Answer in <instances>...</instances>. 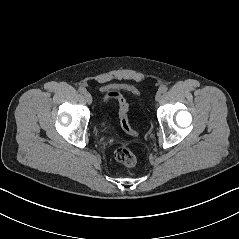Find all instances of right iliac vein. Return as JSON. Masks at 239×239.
Instances as JSON below:
<instances>
[{
	"instance_id": "63e3f726",
	"label": "right iliac vein",
	"mask_w": 239,
	"mask_h": 239,
	"mask_svg": "<svg viewBox=\"0 0 239 239\" xmlns=\"http://www.w3.org/2000/svg\"><path fill=\"white\" fill-rule=\"evenodd\" d=\"M84 97H85V100L88 104H91L92 103V96L89 92H85L84 93Z\"/></svg>"
}]
</instances>
